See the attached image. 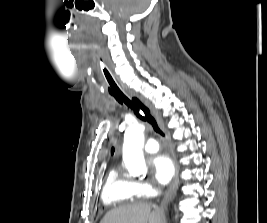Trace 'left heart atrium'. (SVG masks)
Here are the masks:
<instances>
[{
  "instance_id": "left-heart-atrium-1",
  "label": "left heart atrium",
  "mask_w": 267,
  "mask_h": 223,
  "mask_svg": "<svg viewBox=\"0 0 267 223\" xmlns=\"http://www.w3.org/2000/svg\"><path fill=\"white\" fill-rule=\"evenodd\" d=\"M154 179L159 184H166L175 173V163L168 154H158L151 161Z\"/></svg>"
}]
</instances>
